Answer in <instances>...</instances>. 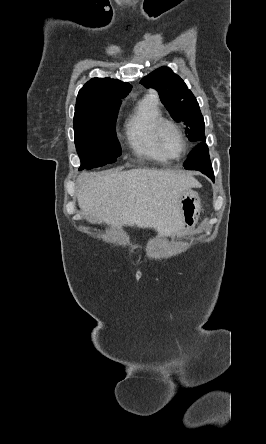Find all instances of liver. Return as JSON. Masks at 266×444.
<instances>
[{"label": "liver", "instance_id": "obj_1", "mask_svg": "<svg viewBox=\"0 0 266 444\" xmlns=\"http://www.w3.org/2000/svg\"><path fill=\"white\" fill-rule=\"evenodd\" d=\"M78 183V204L90 222L154 228L161 236L182 234L179 201L198 186L189 173L152 169L84 172Z\"/></svg>", "mask_w": 266, "mask_h": 444}]
</instances>
